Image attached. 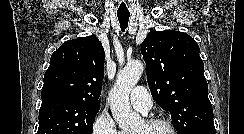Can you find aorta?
Here are the masks:
<instances>
[{
	"label": "aorta",
	"mask_w": 244,
	"mask_h": 134,
	"mask_svg": "<svg viewBox=\"0 0 244 134\" xmlns=\"http://www.w3.org/2000/svg\"><path fill=\"white\" fill-rule=\"evenodd\" d=\"M144 70L141 61L128 63L117 75V80L109 92L111 112L121 129H128L140 120L139 114L130 108L129 94L139 81Z\"/></svg>",
	"instance_id": "1"
}]
</instances>
